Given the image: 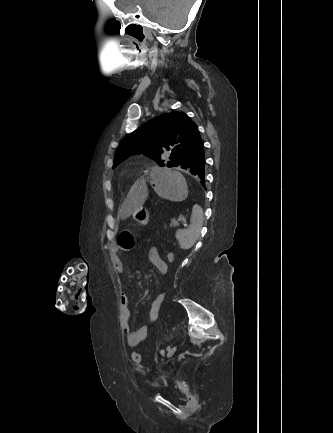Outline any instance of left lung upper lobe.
<instances>
[{"instance_id": "5c2ea615", "label": "left lung upper lobe", "mask_w": 333, "mask_h": 433, "mask_svg": "<svg viewBox=\"0 0 333 433\" xmlns=\"http://www.w3.org/2000/svg\"><path fill=\"white\" fill-rule=\"evenodd\" d=\"M200 141L196 124L185 113H164L146 122L120 143L113 167L136 153L147 154L160 166L176 167L178 161ZM164 149L170 151L167 164L160 158Z\"/></svg>"}]
</instances>
